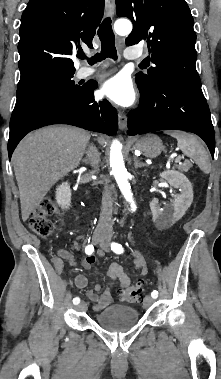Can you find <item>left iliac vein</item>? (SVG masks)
<instances>
[{
  "label": "left iliac vein",
  "mask_w": 221,
  "mask_h": 379,
  "mask_svg": "<svg viewBox=\"0 0 221 379\" xmlns=\"http://www.w3.org/2000/svg\"><path fill=\"white\" fill-rule=\"evenodd\" d=\"M100 246L105 251L110 250V242L108 240H105L103 243L100 244ZM153 302H154V298H152L151 296H146L144 299V306L149 307L152 305Z\"/></svg>",
  "instance_id": "obj_1"
}]
</instances>
